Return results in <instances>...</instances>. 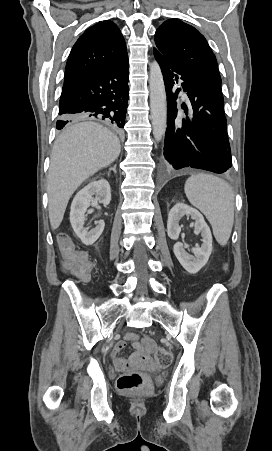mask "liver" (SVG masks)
<instances>
[{"mask_svg":"<svg viewBox=\"0 0 272 451\" xmlns=\"http://www.w3.org/2000/svg\"><path fill=\"white\" fill-rule=\"evenodd\" d=\"M85 120V116L73 118L54 142L47 182L52 229L60 226L66 206L82 182L110 166L121 152L116 134Z\"/></svg>","mask_w":272,"mask_h":451,"instance_id":"6515ba94","label":"liver"}]
</instances>
